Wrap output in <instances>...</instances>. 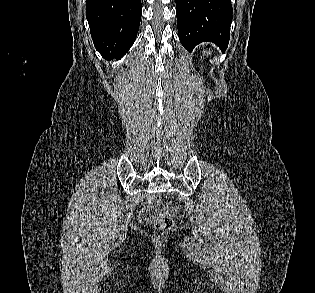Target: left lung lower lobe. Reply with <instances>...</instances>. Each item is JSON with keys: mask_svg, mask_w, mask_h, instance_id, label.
Masks as SVG:
<instances>
[{"mask_svg": "<svg viewBox=\"0 0 315 293\" xmlns=\"http://www.w3.org/2000/svg\"><path fill=\"white\" fill-rule=\"evenodd\" d=\"M179 39L192 50L203 41L215 43L224 52L230 38V0H176Z\"/></svg>", "mask_w": 315, "mask_h": 293, "instance_id": "obj_1", "label": "left lung lower lobe"}]
</instances>
